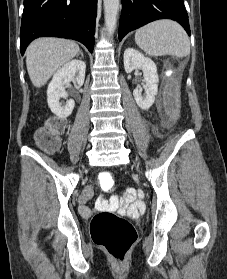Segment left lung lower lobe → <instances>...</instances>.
<instances>
[{"instance_id": "obj_1", "label": "left lung lower lobe", "mask_w": 227, "mask_h": 279, "mask_svg": "<svg viewBox=\"0 0 227 279\" xmlns=\"http://www.w3.org/2000/svg\"><path fill=\"white\" fill-rule=\"evenodd\" d=\"M121 3L120 41L128 32L158 19L177 21L191 34L183 0H121Z\"/></svg>"}]
</instances>
